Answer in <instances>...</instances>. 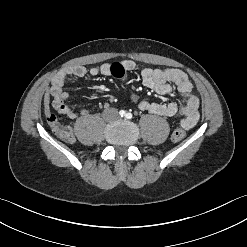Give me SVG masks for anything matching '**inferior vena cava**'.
<instances>
[{"label":"inferior vena cava","instance_id":"1","mask_svg":"<svg viewBox=\"0 0 247 247\" xmlns=\"http://www.w3.org/2000/svg\"><path fill=\"white\" fill-rule=\"evenodd\" d=\"M103 116L106 119H114L118 116V111L117 109H114V108L107 109L103 112Z\"/></svg>","mask_w":247,"mask_h":247}]
</instances>
